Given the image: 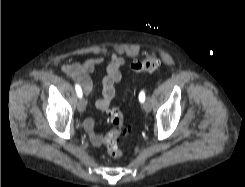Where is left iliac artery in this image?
Segmentation results:
<instances>
[{
    "label": "left iliac artery",
    "mask_w": 245,
    "mask_h": 187,
    "mask_svg": "<svg viewBox=\"0 0 245 187\" xmlns=\"http://www.w3.org/2000/svg\"><path fill=\"white\" fill-rule=\"evenodd\" d=\"M139 101L144 102L145 101V93L144 91H141L139 94Z\"/></svg>",
    "instance_id": "obj_1"
}]
</instances>
